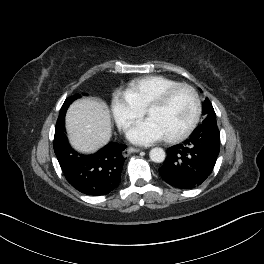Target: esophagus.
Wrapping results in <instances>:
<instances>
[{
	"label": "esophagus",
	"mask_w": 264,
	"mask_h": 264,
	"mask_svg": "<svg viewBox=\"0 0 264 264\" xmlns=\"http://www.w3.org/2000/svg\"><path fill=\"white\" fill-rule=\"evenodd\" d=\"M140 151H141V149H139V148H133V147L128 148L129 153H138Z\"/></svg>",
	"instance_id": "esophagus-1"
}]
</instances>
